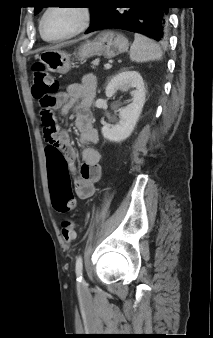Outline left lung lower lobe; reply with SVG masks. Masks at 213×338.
Instances as JSON below:
<instances>
[{"label": "left lung lower lobe", "instance_id": "1", "mask_svg": "<svg viewBox=\"0 0 213 338\" xmlns=\"http://www.w3.org/2000/svg\"><path fill=\"white\" fill-rule=\"evenodd\" d=\"M167 12L168 9L161 0H102L99 14L86 33L122 29L164 43L168 36Z\"/></svg>", "mask_w": 213, "mask_h": 338}]
</instances>
